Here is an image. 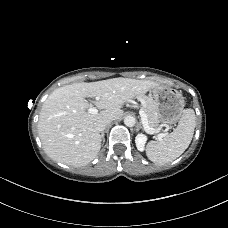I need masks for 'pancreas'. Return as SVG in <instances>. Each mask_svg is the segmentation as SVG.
Returning a JSON list of instances; mask_svg holds the SVG:
<instances>
[{
    "label": "pancreas",
    "instance_id": "pancreas-1",
    "mask_svg": "<svg viewBox=\"0 0 228 228\" xmlns=\"http://www.w3.org/2000/svg\"><path fill=\"white\" fill-rule=\"evenodd\" d=\"M142 109L147 115L148 125L152 129L157 128L159 126L160 119L154 103L149 98H145L142 104Z\"/></svg>",
    "mask_w": 228,
    "mask_h": 228
}]
</instances>
